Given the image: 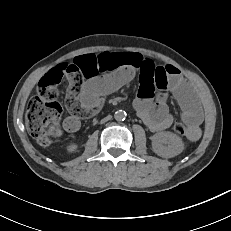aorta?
Listing matches in <instances>:
<instances>
[{"label": "aorta", "instance_id": "762f6f07", "mask_svg": "<svg viewBox=\"0 0 231 231\" xmlns=\"http://www.w3.org/2000/svg\"><path fill=\"white\" fill-rule=\"evenodd\" d=\"M114 118L117 121H122V120H124L126 118V112L123 111V110H118V111L115 112Z\"/></svg>", "mask_w": 231, "mask_h": 231}]
</instances>
